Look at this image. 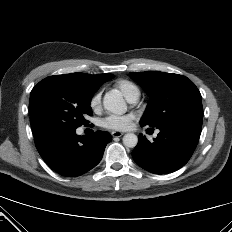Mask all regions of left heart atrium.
<instances>
[{
    "mask_svg": "<svg viewBox=\"0 0 232 232\" xmlns=\"http://www.w3.org/2000/svg\"><path fill=\"white\" fill-rule=\"evenodd\" d=\"M133 115H110L103 119V127L111 130H126L131 126Z\"/></svg>",
    "mask_w": 232,
    "mask_h": 232,
    "instance_id": "1",
    "label": "left heart atrium"
}]
</instances>
